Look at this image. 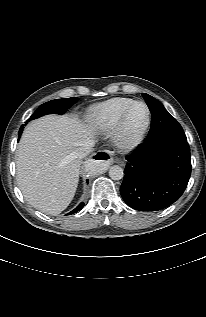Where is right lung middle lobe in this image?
<instances>
[{
  "mask_svg": "<svg viewBox=\"0 0 206 317\" xmlns=\"http://www.w3.org/2000/svg\"><path fill=\"white\" fill-rule=\"evenodd\" d=\"M76 101H77V98L72 97V98L56 99V100H51L49 102H46L42 104L41 106H39V108H37V110L34 112V114L31 116L29 120H33L35 118H39L43 115L50 114V113L63 114Z\"/></svg>",
  "mask_w": 206,
  "mask_h": 317,
  "instance_id": "1",
  "label": "right lung middle lobe"
}]
</instances>
